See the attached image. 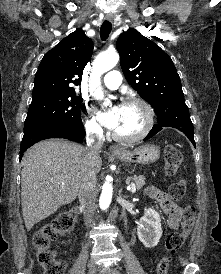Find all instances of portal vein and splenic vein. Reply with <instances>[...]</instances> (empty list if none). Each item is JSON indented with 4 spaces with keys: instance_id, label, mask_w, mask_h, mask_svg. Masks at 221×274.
<instances>
[{
    "instance_id": "obj_1",
    "label": "portal vein and splenic vein",
    "mask_w": 221,
    "mask_h": 274,
    "mask_svg": "<svg viewBox=\"0 0 221 274\" xmlns=\"http://www.w3.org/2000/svg\"><path fill=\"white\" fill-rule=\"evenodd\" d=\"M129 189L131 190L132 193H135V192H136V187H135L134 184H131V185L129 186Z\"/></svg>"
}]
</instances>
